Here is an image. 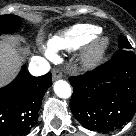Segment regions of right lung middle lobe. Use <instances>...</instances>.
<instances>
[{
	"label": "right lung middle lobe",
	"mask_w": 136,
	"mask_h": 136,
	"mask_svg": "<svg viewBox=\"0 0 136 136\" xmlns=\"http://www.w3.org/2000/svg\"><path fill=\"white\" fill-rule=\"evenodd\" d=\"M19 24L20 18L16 15L0 16V35L16 30Z\"/></svg>",
	"instance_id": "obj_1"
}]
</instances>
